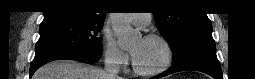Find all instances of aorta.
Listing matches in <instances>:
<instances>
[{"label":"aorta","mask_w":255,"mask_h":79,"mask_svg":"<svg viewBox=\"0 0 255 79\" xmlns=\"http://www.w3.org/2000/svg\"><path fill=\"white\" fill-rule=\"evenodd\" d=\"M112 21L113 31L115 32L120 46H128L140 37V33L134 30L123 18V13H114Z\"/></svg>","instance_id":"aorta-1"}]
</instances>
